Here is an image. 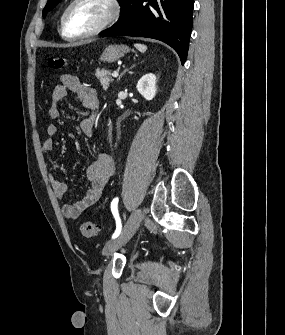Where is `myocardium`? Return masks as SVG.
Instances as JSON below:
<instances>
[{"instance_id": "obj_1", "label": "myocardium", "mask_w": 285, "mask_h": 335, "mask_svg": "<svg viewBox=\"0 0 285 335\" xmlns=\"http://www.w3.org/2000/svg\"><path fill=\"white\" fill-rule=\"evenodd\" d=\"M82 2L102 3L108 7L109 14L107 18L95 28L74 32L72 34V38L74 39L91 37L103 32L119 18L121 13V7L119 1H72L66 11V19L70 26H74L72 22L74 8L77 4Z\"/></svg>"}]
</instances>
